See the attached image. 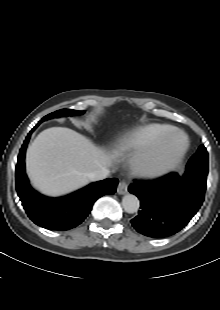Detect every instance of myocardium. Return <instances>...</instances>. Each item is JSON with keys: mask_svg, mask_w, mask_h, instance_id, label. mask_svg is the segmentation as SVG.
I'll return each instance as SVG.
<instances>
[{"mask_svg": "<svg viewBox=\"0 0 220 310\" xmlns=\"http://www.w3.org/2000/svg\"><path fill=\"white\" fill-rule=\"evenodd\" d=\"M174 139L178 147L174 155L166 161H161V155L166 146ZM189 147L187 135L176 128L165 133L151 148L137 153L132 160L136 175L145 179H158L174 170L185 157Z\"/></svg>", "mask_w": 220, "mask_h": 310, "instance_id": "myocardium-1", "label": "myocardium"}]
</instances>
